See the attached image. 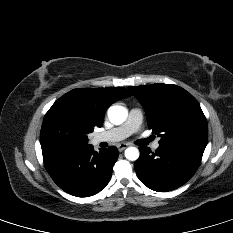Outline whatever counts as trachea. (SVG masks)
I'll list each match as a JSON object with an SVG mask.
<instances>
[{
  "label": "trachea",
  "instance_id": "trachea-1",
  "mask_svg": "<svg viewBox=\"0 0 233 233\" xmlns=\"http://www.w3.org/2000/svg\"><path fill=\"white\" fill-rule=\"evenodd\" d=\"M151 140H153L152 137H149V138H147V139H141V140H138V141H137V144H138V145H146V144H148Z\"/></svg>",
  "mask_w": 233,
  "mask_h": 233
}]
</instances>
